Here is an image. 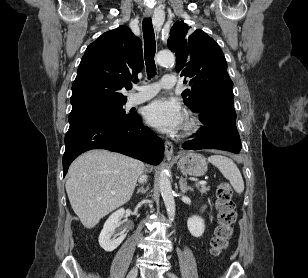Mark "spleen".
<instances>
[{"label":"spleen","mask_w":308,"mask_h":278,"mask_svg":"<svg viewBox=\"0 0 308 278\" xmlns=\"http://www.w3.org/2000/svg\"><path fill=\"white\" fill-rule=\"evenodd\" d=\"M208 161L217 167L222 175L229 180L233 189L237 193H242L244 191L242 175L232 159L216 154L208 157Z\"/></svg>","instance_id":"3e777b00"}]
</instances>
